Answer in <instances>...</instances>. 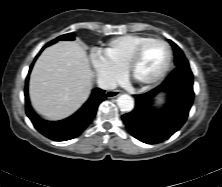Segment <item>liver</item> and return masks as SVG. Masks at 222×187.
Segmentation results:
<instances>
[{
    "label": "liver",
    "instance_id": "liver-1",
    "mask_svg": "<svg viewBox=\"0 0 222 187\" xmlns=\"http://www.w3.org/2000/svg\"><path fill=\"white\" fill-rule=\"evenodd\" d=\"M93 72L85 50L75 41L46 48L30 76L29 94L35 110L51 120L63 119L88 98Z\"/></svg>",
    "mask_w": 222,
    "mask_h": 187
}]
</instances>
